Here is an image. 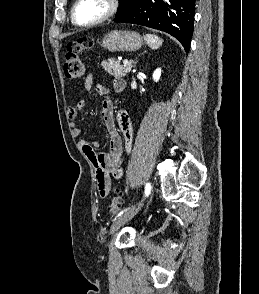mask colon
<instances>
[{"instance_id":"1","label":"colon","mask_w":259,"mask_h":294,"mask_svg":"<svg viewBox=\"0 0 259 294\" xmlns=\"http://www.w3.org/2000/svg\"><path fill=\"white\" fill-rule=\"evenodd\" d=\"M93 46V40L89 37H82L67 45L64 61V74L66 78L71 80L81 79L84 75V64L81 54L90 50ZM123 205V196L116 192L108 207V215L114 216Z\"/></svg>"}]
</instances>
